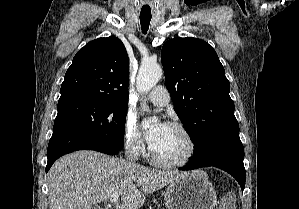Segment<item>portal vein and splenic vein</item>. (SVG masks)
I'll use <instances>...</instances> for the list:
<instances>
[{"instance_id":"18ae733b","label":"portal vein and splenic vein","mask_w":299,"mask_h":209,"mask_svg":"<svg viewBox=\"0 0 299 209\" xmlns=\"http://www.w3.org/2000/svg\"><path fill=\"white\" fill-rule=\"evenodd\" d=\"M118 198H119V195H118V194H113V195L110 197V202H111L112 204H115V203L117 202ZM116 209H118V208H116Z\"/></svg>"}]
</instances>
